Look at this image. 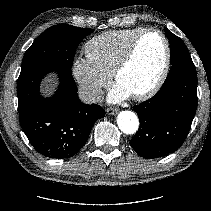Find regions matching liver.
Here are the masks:
<instances>
[{
    "label": "liver",
    "mask_w": 211,
    "mask_h": 211,
    "mask_svg": "<svg viewBox=\"0 0 211 211\" xmlns=\"http://www.w3.org/2000/svg\"><path fill=\"white\" fill-rule=\"evenodd\" d=\"M48 82H50V80H48ZM50 87H52V85H51V84H49V85L47 84V85H46V89H47V91H49V90H50Z\"/></svg>",
    "instance_id": "obj_1"
}]
</instances>
